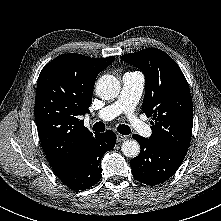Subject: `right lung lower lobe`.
I'll use <instances>...</instances> for the list:
<instances>
[{"label": "right lung lower lobe", "instance_id": "98d812e1", "mask_svg": "<svg viewBox=\"0 0 221 221\" xmlns=\"http://www.w3.org/2000/svg\"><path fill=\"white\" fill-rule=\"evenodd\" d=\"M116 143V135L108 130L91 135L81 149L78 160L65 174L60 176L63 184L73 190H85L95 185L102 177L100 160Z\"/></svg>", "mask_w": 221, "mask_h": 221}]
</instances>
